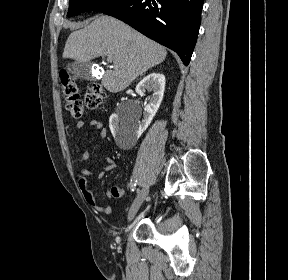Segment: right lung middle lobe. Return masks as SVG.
I'll use <instances>...</instances> for the list:
<instances>
[{
    "mask_svg": "<svg viewBox=\"0 0 288 280\" xmlns=\"http://www.w3.org/2000/svg\"><path fill=\"white\" fill-rule=\"evenodd\" d=\"M123 0H70L67 16L72 17L86 11H103Z\"/></svg>",
    "mask_w": 288,
    "mask_h": 280,
    "instance_id": "1",
    "label": "right lung middle lobe"
}]
</instances>
